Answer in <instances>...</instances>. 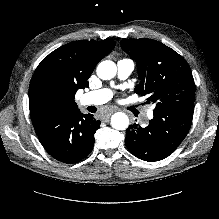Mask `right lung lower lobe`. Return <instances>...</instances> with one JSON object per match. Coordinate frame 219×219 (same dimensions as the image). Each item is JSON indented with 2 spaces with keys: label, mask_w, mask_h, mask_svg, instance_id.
Masks as SVG:
<instances>
[{
  "label": "right lung lower lobe",
  "mask_w": 219,
  "mask_h": 219,
  "mask_svg": "<svg viewBox=\"0 0 219 219\" xmlns=\"http://www.w3.org/2000/svg\"><path fill=\"white\" fill-rule=\"evenodd\" d=\"M33 125L46 151L56 160L72 164L87 157L94 146V133L100 121L79 109L65 113H42L32 117Z\"/></svg>",
  "instance_id": "98d812e1"
}]
</instances>
